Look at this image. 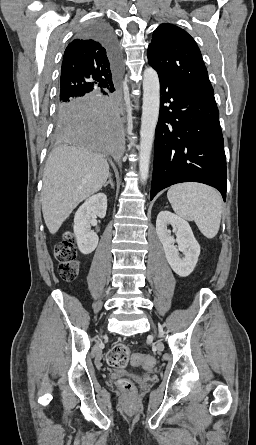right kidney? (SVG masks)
Here are the masks:
<instances>
[{
	"mask_svg": "<svg viewBox=\"0 0 256 445\" xmlns=\"http://www.w3.org/2000/svg\"><path fill=\"white\" fill-rule=\"evenodd\" d=\"M107 210V196L98 193L89 197L77 210L74 216V234L80 252L92 253L98 245V236L91 230V219L95 216L104 218Z\"/></svg>",
	"mask_w": 256,
	"mask_h": 445,
	"instance_id": "1",
	"label": "right kidney"
}]
</instances>
